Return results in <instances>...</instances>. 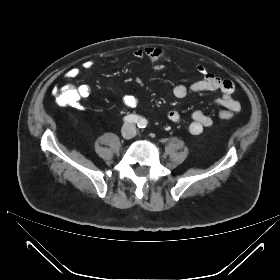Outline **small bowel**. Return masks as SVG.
<instances>
[{"instance_id": "1", "label": "small bowel", "mask_w": 280, "mask_h": 280, "mask_svg": "<svg viewBox=\"0 0 280 280\" xmlns=\"http://www.w3.org/2000/svg\"><path fill=\"white\" fill-rule=\"evenodd\" d=\"M133 55L137 59H147L154 65L153 69L155 71H160L165 68V65L159 64V62L164 58V54L157 47L137 48L133 50ZM93 65V61L87 60L82 64V68L84 70H90ZM197 70L203 75V79L191 84L182 83L176 85L173 88V94L176 98H184L191 92L199 93L220 91L222 93L221 97L213 102L214 105L224 108V110L220 111L219 115L222 113H228L231 117H233L234 113L240 111V103L232 97L235 89V85L232 80L213 75L203 64H199L197 66ZM79 73V68L73 67L67 72V77L74 79L78 77ZM76 90L79 95V101L88 98L91 94V87L88 84H81ZM121 104L124 107L133 108L137 106L138 99L133 95H124L121 98ZM74 105H78V102ZM167 117L171 122L175 123L181 120V116L176 110L169 111L167 113ZM191 119L192 121L189 125V131L193 135L201 134L205 128H208L213 124V119L201 110L194 111L191 115Z\"/></svg>"}]
</instances>
